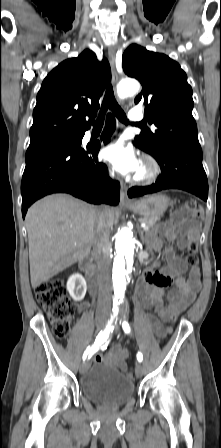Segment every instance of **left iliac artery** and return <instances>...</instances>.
Returning <instances> with one entry per match:
<instances>
[{
	"label": "left iliac artery",
	"mask_w": 221,
	"mask_h": 448,
	"mask_svg": "<svg viewBox=\"0 0 221 448\" xmlns=\"http://www.w3.org/2000/svg\"><path fill=\"white\" fill-rule=\"evenodd\" d=\"M122 328H123V330H124L125 333H130V326H129V324H128L127 321H123V323H122ZM137 360H138L139 362H142V360H143V355H142L141 352H138V353H137Z\"/></svg>",
	"instance_id": "obj_1"
}]
</instances>
